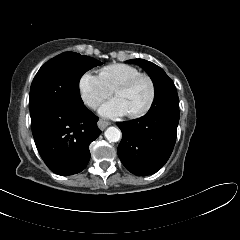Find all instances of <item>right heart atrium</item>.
Masks as SVG:
<instances>
[{
  "label": "right heart atrium",
  "instance_id": "obj_1",
  "mask_svg": "<svg viewBox=\"0 0 240 240\" xmlns=\"http://www.w3.org/2000/svg\"><path fill=\"white\" fill-rule=\"evenodd\" d=\"M78 88L83 102L92 109L97 108L113 94V90L104 80L91 72H86L80 77Z\"/></svg>",
  "mask_w": 240,
  "mask_h": 240
}]
</instances>
